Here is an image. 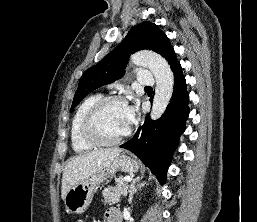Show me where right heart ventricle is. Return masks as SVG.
<instances>
[{"instance_id":"1","label":"right heart ventricle","mask_w":257,"mask_h":222,"mask_svg":"<svg viewBox=\"0 0 257 222\" xmlns=\"http://www.w3.org/2000/svg\"><path fill=\"white\" fill-rule=\"evenodd\" d=\"M101 98V94H93L85 98L73 116L70 127V140L72 148L76 153L88 152L96 146L84 137L82 133V123L87 111Z\"/></svg>"}]
</instances>
